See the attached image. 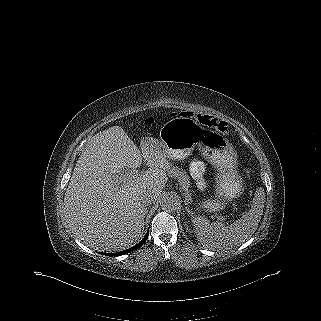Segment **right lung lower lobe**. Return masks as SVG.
Instances as JSON below:
<instances>
[{
	"label": "right lung lower lobe",
	"mask_w": 321,
	"mask_h": 321,
	"mask_svg": "<svg viewBox=\"0 0 321 321\" xmlns=\"http://www.w3.org/2000/svg\"><path fill=\"white\" fill-rule=\"evenodd\" d=\"M148 235H149V231L146 233V235L144 236V238H143L137 245H135L134 247H132V248H130V249H127V250L121 251V252H117V253L107 254V255H108V256H119V255H123V254L130 253V252L136 250L137 248H139L140 246H142L143 243L147 240Z\"/></svg>",
	"instance_id": "1"
}]
</instances>
